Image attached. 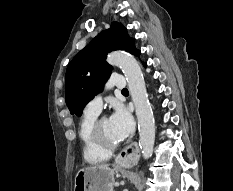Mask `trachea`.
<instances>
[{"label": "trachea", "mask_w": 233, "mask_h": 191, "mask_svg": "<svg viewBox=\"0 0 233 191\" xmlns=\"http://www.w3.org/2000/svg\"><path fill=\"white\" fill-rule=\"evenodd\" d=\"M122 92H128V90H127L126 88H124V89L122 90Z\"/></svg>", "instance_id": "trachea-1"}]
</instances>
